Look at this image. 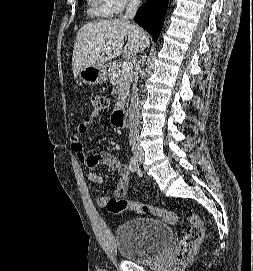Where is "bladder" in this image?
<instances>
[{
  "mask_svg": "<svg viewBox=\"0 0 253 271\" xmlns=\"http://www.w3.org/2000/svg\"><path fill=\"white\" fill-rule=\"evenodd\" d=\"M173 238L171 227L154 218H133L119 225L115 242L119 255L137 263L153 262L160 257Z\"/></svg>",
  "mask_w": 253,
  "mask_h": 271,
  "instance_id": "1",
  "label": "bladder"
}]
</instances>
